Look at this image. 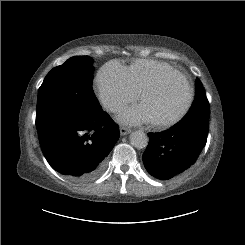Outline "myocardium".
I'll use <instances>...</instances> for the list:
<instances>
[{"instance_id": "f54148a6", "label": "myocardium", "mask_w": 245, "mask_h": 245, "mask_svg": "<svg viewBox=\"0 0 245 245\" xmlns=\"http://www.w3.org/2000/svg\"><path fill=\"white\" fill-rule=\"evenodd\" d=\"M174 75L175 76H179L180 78H182L185 81L186 86H187V88L189 90V99H188L187 104L185 105V107L178 114H176L175 116H173V117H171L169 119H165V120L151 121L153 126H155L157 128H160V129L169 128V127L177 124L190 111V109H191V107H192V105L194 103V100H195V91H194V88L192 86V83H191L190 79L185 74L180 72L179 70L172 69V70H169L167 72H164V73L160 74L157 77V79L152 84H150L148 87L143 89L140 92V94H139V100L141 102L142 99L145 98L147 95H150V94H152L154 92H157L160 89L162 82L166 78H168L170 76H174Z\"/></svg>"}]
</instances>
